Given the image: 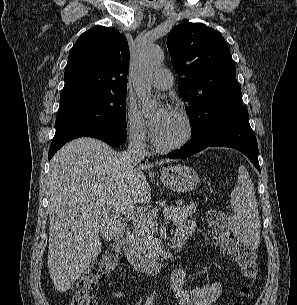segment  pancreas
<instances>
[{"label":"pancreas","mask_w":297,"mask_h":305,"mask_svg":"<svg viewBox=\"0 0 297 305\" xmlns=\"http://www.w3.org/2000/svg\"><path fill=\"white\" fill-rule=\"evenodd\" d=\"M167 217L173 224L179 225L187 221L188 217L195 213L197 205L190 203L184 206H170ZM156 213L149 212L147 215L135 219L133 222V237L136 250L147 258L156 255L157 249L161 243L160 239L155 237L157 232Z\"/></svg>","instance_id":"pancreas-1"}]
</instances>
